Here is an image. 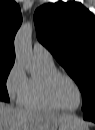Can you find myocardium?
Returning a JSON list of instances; mask_svg holds the SVG:
<instances>
[{
	"mask_svg": "<svg viewBox=\"0 0 95 130\" xmlns=\"http://www.w3.org/2000/svg\"><path fill=\"white\" fill-rule=\"evenodd\" d=\"M61 78H65V79H68L69 81H71L76 86V88L79 92V104L77 105V107H75L73 109H69V108H66L63 105H61L54 95V86H55L56 82ZM43 86H44V92H45L47 99L50 101L51 104H53L59 110H62L65 112H75V111L79 110L83 104L84 94H83V90H82L80 84L72 76H70L66 73L57 71V72L44 76Z\"/></svg>",
	"mask_w": 95,
	"mask_h": 130,
	"instance_id": "1",
	"label": "myocardium"
}]
</instances>
